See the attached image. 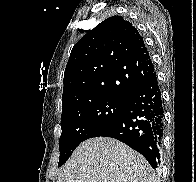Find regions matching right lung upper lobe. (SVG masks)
<instances>
[{
    "label": "right lung upper lobe",
    "instance_id": "right-lung-upper-lobe-1",
    "mask_svg": "<svg viewBox=\"0 0 196 182\" xmlns=\"http://www.w3.org/2000/svg\"><path fill=\"white\" fill-rule=\"evenodd\" d=\"M153 72L138 30L121 16L109 17L71 51L64 73L62 112L100 97L129 100Z\"/></svg>",
    "mask_w": 196,
    "mask_h": 182
}]
</instances>
